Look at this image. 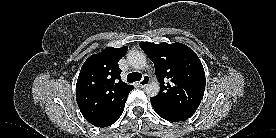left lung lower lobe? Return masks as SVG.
Segmentation results:
<instances>
[{"mask_svg": "<svg viewBox=\"0 0 276 138\" xmlns=\"http://www.w3.org/2000/svg\"><path fill=\"white\" fill-rule=\"evenodd\" d=\"M154 110L160 117H162L165 120L171 121V122H178V121H183V120L188 119L185 117L172 116V115H169L168 113L160 112V111L156 110L155 108H154Z\"/></svg>", "mask_w": 276, "mask_h": 138, "instance_id": "0a47b994", "label": "left lung lower lobe"}]
</instances>
